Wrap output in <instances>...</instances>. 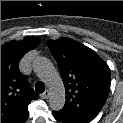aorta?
<instances>
[{
    "mask_svg": "<svg viewBox=\"0 0 123 123\" xmlns=\"http://www.w3.org/2000/svg\"><path fill=\"white\" fill-rule=\"evenodd\" d=\"M36 75L49 88V105L54 111L63 108L65 104V87L52 62L46 57H38L33 62Z\"/></svg>",
    "mask_w": 123,
    "mask_h": 123,
    "instance_id": "obj_1",
    "label": "aorta"
}]
</instances>
